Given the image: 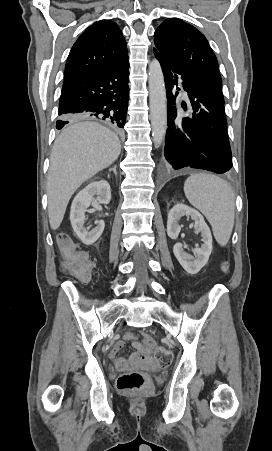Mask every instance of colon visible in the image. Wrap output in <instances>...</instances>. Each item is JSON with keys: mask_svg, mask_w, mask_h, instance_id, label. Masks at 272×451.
<instances>
[{"mask_svg": "<svg viewBox=\"0 0 272 451\" xmlns=\"http://www.w3.org/2000/svg\"><path fill=\"white\" fill-rule=\"evenodd\" d=\"M57 243L63 250L60 252V259L65 260L60 264V269L62 271L71 270L74 274H77L80 280L88 278L90 276V263L87 260V251H82L81 247H72L70 237L62 233L57 236ZM223 269L226 270L227 267L224 266ZM144 347L146 351H150L152 354L153 367L165 368L171 363L172 352L165 350L163 345H157L156 342H146ZM122 348V345L116 347L117 350ZM129 362L133 363L128 358H111V367H123V373L117 380V387L120 390L130 392L149 388L151 385L149 376L141 370L134 369L133 365H129Z\"/></svg>", "mask_w": 272, "mask_h": 451, "instance_id": "colon-1", "label": "colon"}]
</instances>
